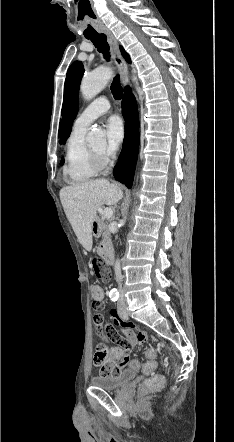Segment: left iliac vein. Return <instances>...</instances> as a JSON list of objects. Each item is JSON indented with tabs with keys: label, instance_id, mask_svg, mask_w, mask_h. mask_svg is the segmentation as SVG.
<instances>
[{
	"label": "left iliac vein",
	"instance_id": "4c4485c4",
	"mask_svg": "<svg viewBox=\"0 0 234 442\" xmlns=\"http://www.w3.org/2000/svg\"><path fill=\"white\" fill-rule=\"evenodd\" d=\"M118 314L122 319H128V313L123 298L120 299L118 304Z\"/></svg>",
	"mask_w": 234,
	"mask_h": 442
}]
</instances>
